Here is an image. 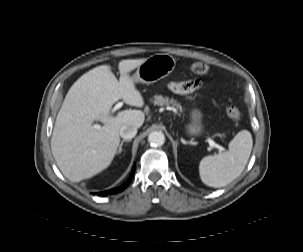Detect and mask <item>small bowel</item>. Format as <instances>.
<instances>
[{"label":"small bowel","instance_id":"1","mask_svg":"<svg viewBox=\"0 0 303 252\" xmlns=\"http://www.w3.org/2000/svg\"><path fill=\"white\" fill-rule=\"evenodd\" d=\"M199 87V82L195 80L191 81H172L168 85V89L176 95H189L197 90Z\"/></svg>","mask_w":303,"mask_h":252}]
</instances>
